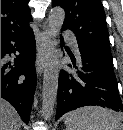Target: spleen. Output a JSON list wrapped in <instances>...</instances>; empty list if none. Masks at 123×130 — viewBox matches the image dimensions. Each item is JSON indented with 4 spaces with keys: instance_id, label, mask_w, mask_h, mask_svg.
I'll use <instances>...</instances> for the list:
<instances>
[{
    "instance_id": "1",
    "label": "spleen",
    "mask_w": 123,
    "mask_h": 130,
    "mask_svg": "<svg viewBox=\"0 0 123 130\" xmlns=\"http://www.w3.org/2000/svg\"><path fill=\"white\" fill-rule=\"evenodd\" d=\"M66 130H121L120 120L111 110L86 106L65 115Z\"/></svg>"
}]
</instances>
